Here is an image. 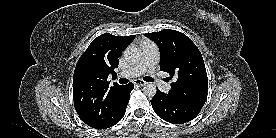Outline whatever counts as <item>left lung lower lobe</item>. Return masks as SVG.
<instances>
[{
	"label": "left lung lower lobe",
	"instance_id": "0a47b994",
	"mask_svg": "<svg viewBox=\"0 0 276 138\" xmlns=\"http://www.w3.org/2000/svg\"><path fill=\"white\" fill-rule=\"evenodd\" d=\"M155 113L163 120L173 124H183L194 119L202 107L174 98L157 89L151 100Z\"/></svg>",
	"mask_w": 276,
	"mask_h": 138
}]
</instances>
